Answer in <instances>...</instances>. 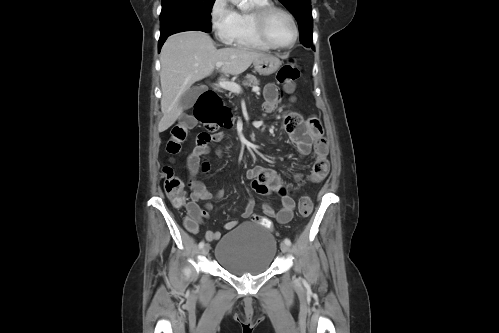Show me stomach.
<instances>
[{
    "label": "stomach",
    "mask_w": 499,
    "mask_h": 333,
    "mask_svg": "<svg viewBox=\"0 0 499 333\" xmlns=\"http://www.w3.org/2000/svg\"><path fill=\"white\" fill-rule=\"evenodd\" d=\"M280 65L281 61L273 55H265L254 61L255 71L263 76H268L275 73Z\"/></svg>",
    "instance_id": "obj_1"
}]
</instances>
